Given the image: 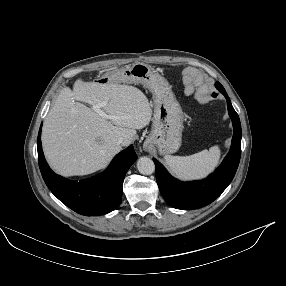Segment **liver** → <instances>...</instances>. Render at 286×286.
Masks as SVG:
<instances>
[{
  "label": "liver",
  "mask_w": 286,
  "mask_h": 286,
  "mask_svg": "<svg viewBox=\"0 0 286 286\" xmlns=\"http://www.w3.org/2000/svg\"><path fill=\"white\" fill-rule=\"evenodd\" d=\"M72 97L91 106L107 101L102 109L112 118L107 120L82 103L72 104ZM151 115L147 97L136 87L78 79L73 90L60 91L45 118L42 144L46 159L64 176L103 169L121 150L118 139L124 138L128 146L136 129L149 124Z\"/></svg>",
  "instance_id": "1"
}]
</instances>
